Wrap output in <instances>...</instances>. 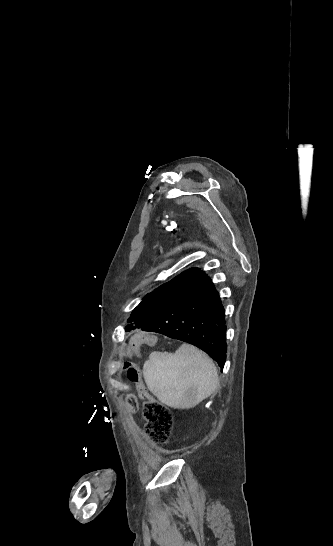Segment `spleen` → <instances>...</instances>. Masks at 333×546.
Wrapping results in <instances>:
<instances>
[{"label":"spleen","instance_id":"1","mask_svg":"<svg viewBox=\"0 0 333 546\" xmlns=\"http://www.w3.org/2000/svg\"><path fill=\"white\" fill-rule=\"evenodd\" d=\"M143 376L158 400L177 409L195 407L219 385L212 360L189 344H182L175 353L152 352L144 363Z\"/></svg>","mask_w":333,"mask_h":546}]
</instances>
